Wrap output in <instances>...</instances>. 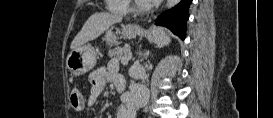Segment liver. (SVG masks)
Segmentation results:
<instances>
[{"label":"liver","instance_id":"liver-1","mask_svg":"<svg viewBox=\"0 0 273 118\" xmlns=\"http://www.w3.org/2000/svg\"><path fill=\"white\" fill-rule=\"evenodd\" d=\"M122 21V16L110 13H95L83 25L81 31L73 39L70 48L73 50L85 43L96 39L115 23Z\"/></svg>","mask_w":273,"mask_h":118}]
</instances>
